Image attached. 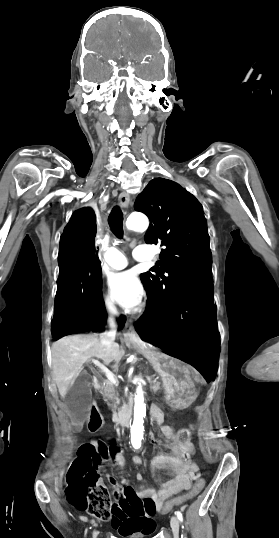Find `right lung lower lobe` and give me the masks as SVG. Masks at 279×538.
<instances>
[{
    "label": "right lung lower lobe",
    "instance_id": "98d812e1",
    "mask_svg": "<svg viewBox=\"0 0 279 538\" xmlns=\"http://www.w3.org/2000/svg\"><path fill=\"white\" fill-rule=\"evenodd\" d=\"M95 235L96 219L91 208L76 211L61 235L58 254L60 271L51 323L54 339L97 331L106 323ZM125 321V316H121V328Z\"/></svg>",
    "mask_w": 279,
    "mask_h": 538
}]
</instances>
